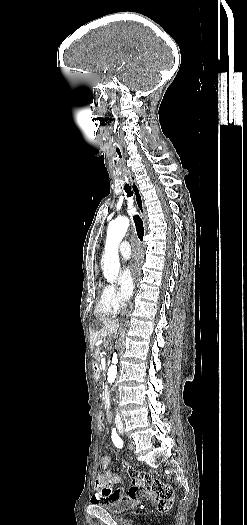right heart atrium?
Returning a JSON list of instances; mask_svg holds the SVG:
<instances>
[{
    "label": "right heart atrium",
    "mask_w": 247,
    "mask_h": 525,
    "mask_svg": "<svg viewBox=\"0 0 247 525\" xmlns=\"http://www.w3.org/2000/svg\"><path fill=\"white\" fill-rule=\"evenodd\" d=\"M115 297H116L115 287L112 285L107 286L103 291L104 302L112 308H119L122 305V302L120 300L116 301Z\"/></svg>",
    "instance_id": "right-heart-atrium-1"
}]
</instances>
